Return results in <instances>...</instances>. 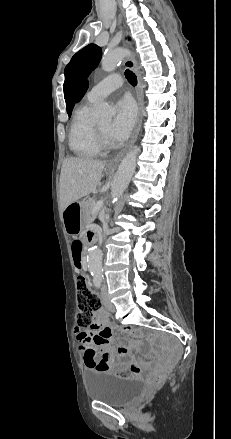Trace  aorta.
Wrapping results in <instances>:
<instances>
[{
	"label": "aorta",
	"instance_id": "762f6f07",
	"mask_svg": "<svg viewBox=\"0 0 231 439\" xmlns=\"http://www.w3.org/2000/svg\"><path fill=\"white\" fill-rule=\"evenodd\" d=\"M127 51L122 48L108 52L102 58V69L106 72L113 71L127 55ZM98 117L102 120H110L114 115V110L107 103H102L98 108ZM140 148L134 146L126 154L118 166L113 183L111 185V197L113 201L120 198L128 186L136 168V158ZM88 268L94 277L102 276V251L98 247H92L88 253Z\"/></svg>",
	"mask_w": 231,
	"mask_h": 439
}]
</instances>
